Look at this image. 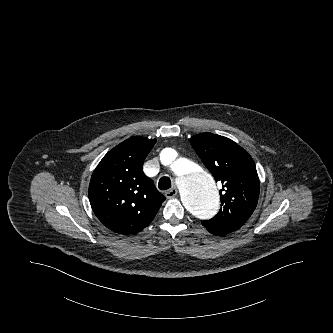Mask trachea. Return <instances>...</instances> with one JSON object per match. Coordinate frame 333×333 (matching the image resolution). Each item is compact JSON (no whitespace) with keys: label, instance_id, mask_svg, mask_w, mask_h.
<instances>
[{"label":"trachea","instance_id":"1","mask_svg":"<svg viewBox=\"0 0 333 333\" xmlns=\"http://www.w3.org/2000/svg\"><path fill=\"white\" fill-rule=\"evenodd\" d=\"M159 189L167 190L171 188V180L169 177H161L159 180Z\"/></svg>","mask_w":333,"mask_h":333}]
</instances>
